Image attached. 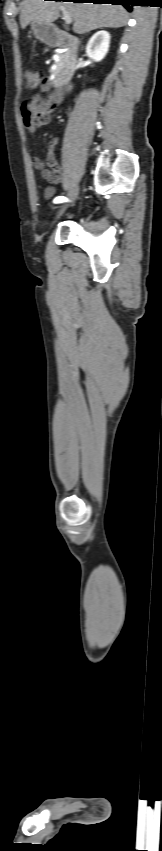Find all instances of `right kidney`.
<instances>
[{
    "mask_svg": "<svg viewBox=\"0 0 162 851\" xmlns=\"http://www.w3.org/2000/svg\"><path fill=\"white\" fill-rule=\"evenodd\" d=\"M110 34L107 31H98L87 43L86 54L94 61H101L108 52Z\"/></svg>",
    "mask_w": 162,
    "mask_h": 851,
    "instance_id": "right-kidney-1",
    "label": "right kidney"
}]
</instances>
